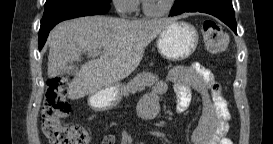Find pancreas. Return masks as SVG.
I'll use <instances>...</instances> for the list:
<instances>
[{
  "mask_svg": "<svg viewBox=\"0 0 273 144\" xmlns=\"http://www.w3.org/2000/svg\"><path fill=\"white\" fill-rule=\"evenodd\" d=\"M158 81V76L151 72H142L137 74L126 86L122 89L123 96H129L137 91L144 90L147 86H152Z\"/></svg>",
  "mask_w": 273,
  "mask_h": 144,
  "instance_id": "obj_1",
  "label": "pancreas"
}]
</instances>
